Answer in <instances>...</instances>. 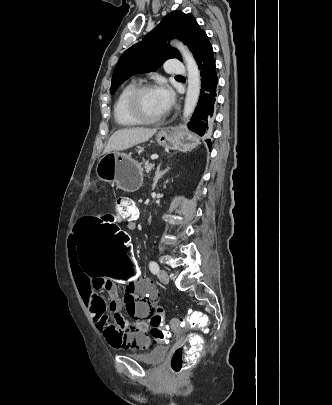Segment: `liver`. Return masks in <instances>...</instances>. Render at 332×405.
I'll use <instances>...</instances> for the list:
<instances>
[{
  "mask_svg": "<svg viewBox=\"0 0 332 405\" xmlns=\"http://www.w3.org/2000/svg\"><path fill=\"white\" fill-rule=\"evenodd\" d=\"M157 128H125L116 131L108 140L104 154L120 151L148 141Z\"/></svg>",
  "mask_w": 332,
  "mask_h": 405,
  "instance_id": "liver-1",
  "label": "liver"
}]
</instances>
